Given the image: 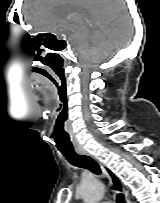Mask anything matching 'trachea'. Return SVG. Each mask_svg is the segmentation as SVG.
<instances>
[{
    "mask_svg": "<svg viewBox=\"0 0 160 203\" xmlns=\"http://www.w3.org/2000/svg\"><path fill=\"white\" fill-rule=\"evenodd\" d=\"M69 163L76 167H81L92 171L95 174H101V169L98 163L90 158L89 156L80 155L74 150H61L60 151ZM117 203H125V198L123 194H118L116 196Z\"/></svg>",
    "mask_w": 160,
    "mask_h": 203,
    "instance_id": "1",
    "label": "trachea"
}]
</instances>
